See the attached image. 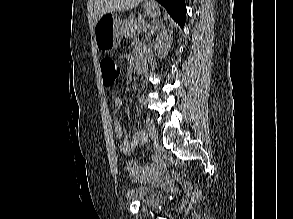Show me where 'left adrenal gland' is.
<instances>
[{"label":"left adrenal gland","mask_w":293,"mask_h":219,"mask_svg":"<svg viewBox=\"0 0 293 219\" xmlns=\"http://www.w3.org/2000/svg\"><path fill=\"white\" fill-rule=\"evenodd\" d=\"M162 26H163L162 20L154 21L146 34V39L148 40L151 37V34H153Z\"/></svg>","instance_id":"1"}]
</instances>
